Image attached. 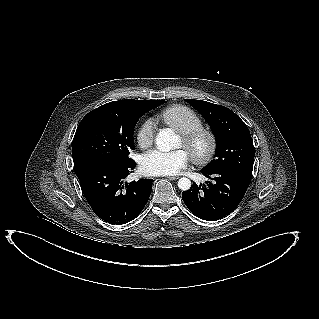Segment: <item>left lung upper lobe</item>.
<instances>
[{"instance_id":"1","label":"left lung upper lobe","mask_w":319,"mask_h":319,"mask_svg":"<svg viewBox=\"0 0 319 319\" xmlns=\"http://www.w3.org/2000/svg\"><path fill=\"white\" fill-rule=\"evenodd\" d=\"M185 101L204 117L216 137L215 158L203 169L234 170L252 178L255 149L247 125L224 106L194 99Z\"/></svg>"}]
</instances>
